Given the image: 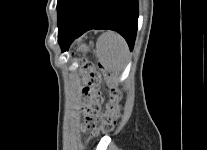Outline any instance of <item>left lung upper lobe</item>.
<instances>
[{"label": "left lung upper lobe", "mask_w": 207, "mask_h": 150, "mask_svg": "<svg viewBox=\"0 0 207 150\" xmlns=\"http://www.w3.org/2000/svg\"><path fill=\"white\" fill-rule=\"evenodd\" d=\"M65 1L66 0H58V3H57V11H58V14H59L60 9L63 6V4H64Z\"/></svg>", "instance_id": "5c2ea615"}]
</instances>
